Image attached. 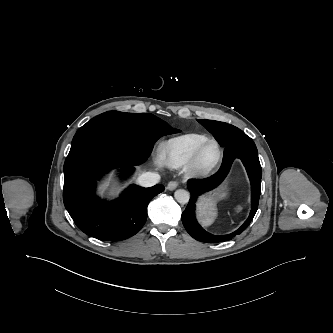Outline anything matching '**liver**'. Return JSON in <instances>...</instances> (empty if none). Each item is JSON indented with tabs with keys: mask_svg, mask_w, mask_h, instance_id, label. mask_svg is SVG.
Wrapping results in <instances>:
<instances>
[{
	"mask_svg": "<svg viewBox=\"0 0 333 333\" xmlns=\"http://www.w3.org/2000/svg\"><path fill=\"white\" fill-rule=\"evenodd\" d=\"M107 187H108L107 184H103V185L101 186V189L104 190V189H106Z\"/></svg>",
	"mask_w": 333,
	"mask_h": 333,
	"instance_id": "1",
	"label": "liver"
}]
</instances>
